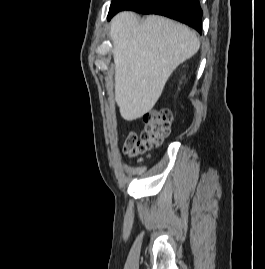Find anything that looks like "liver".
Here are the masks:
<instances>
[{
	"instance_id": "1",
	"label": "liver",
	"mask_w": 265,
	"mask_h": 269,
	"mask_svg": "<svg viewBox=\"0 0 265 269\" xmlns=\"http://www.w3.org/2000/svg\"><path fill=\"white\" fill-rule=\"evenodd\" d=\"M115 64V101L123 119L133 121L149 112L172 72L200 47L187 26L158 15L144 21L129 11L110 24Z\"/></svg>"
}]
</instances>
